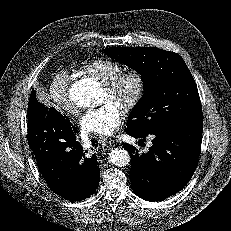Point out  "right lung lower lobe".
Returning a JSON list of instances; mask_svg holds the SVG:
<instances>
[{"label":"right lung lower lobe","mask_w":231,"mask_h":231,"mask_svg":"<svg viewBox=\"0 0 231 231\" xmlns=\"http://www.w3.org/2000/svg\"><path fill=\"white\" fill-rule=\"evenodd\" d=\"M28 121V144L50 189L69 201L92 195L100 181L99 166L96 155L76 141L77 128L65 115L38 102L34 90L28 104ZM92 146H97L96 141Z\"/></svg>","instance_id":"1"}]
</instances>
